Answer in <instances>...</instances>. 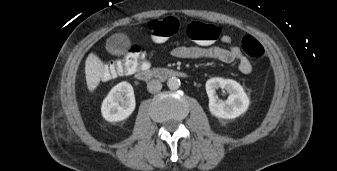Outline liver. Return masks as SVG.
<instances>
[{"instance_id":"1","label":"liver","mask_w":337,"mask_h":171,"mask_svg":"<svg viewBox=\"0 0 337 171\" xmlns=\"http://www.w3.org/2000/svg\"><path fill=\"white\" fill-rule=\"evenodd\" d=\"M104 73V64L94 53H90L85 62L86 82L89 91H94L100 84Z\"/></svg>"}]
</instances>
